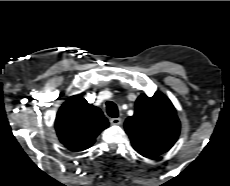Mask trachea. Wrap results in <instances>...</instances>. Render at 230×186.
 Masks as SVG:
<instances>
[{
  "mask_svg": "<svg viewBox=\"0 0 230 186\" xmlns=\"http://www.w3.org/2000/svg\"><path fill=\"white\" fill-rule=\"evenodd\" d=\"M106 110L107 114L112 118H117L119 115L117 106L111 101L106 103Z\"/></svg>",
  "mask_w": 230,
  "mask_h": 186,
  "instance_id": "3493384b",
  "label": "trachea"
}]
</instances>
